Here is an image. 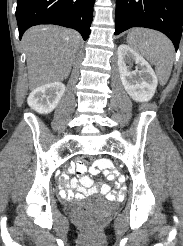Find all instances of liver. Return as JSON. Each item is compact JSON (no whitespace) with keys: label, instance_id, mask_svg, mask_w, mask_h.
<instances>
[{"label":"liver","instance_id":"6515ba94","mask_svg":"<svg viewBox=\"0 0 183 246\" xmlns=\"http://www.w3.org/2000/svg\"><path fill=\"white\" fill-rule=\"evenodd\" d=\"M81 37L77 31L57 26H36L23 38L27 56L29 88L66 79L79 49Z\"/></svg>","mask_w":183,"mask_h":246}]
</instances>
